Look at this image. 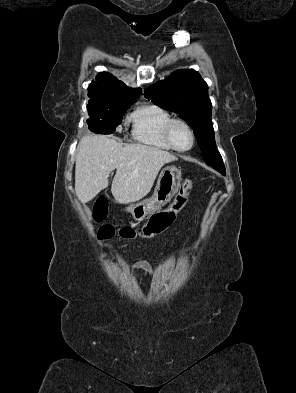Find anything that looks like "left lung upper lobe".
Returning <instances> with one entry per match:
<instances>
[{
	"label": "left lung upper lobe",
	"instance_id": "1",
	"mask_svg": "<svg viewBox=\"0 0 296 393\" xmlns=\"http://www.w3.org/2000/svg\"><path fill=\"white\" fill-rule=\"evenodd\" d=\"M146 98L161 108L176 112L193 128L204 161L225 174L222 157L216 148L211 122L212 104L208 86L194 70H178L144 91Z\"/></svg>",
	"mask_w": 296,
	"mask_h": 393
}]
</instances>
